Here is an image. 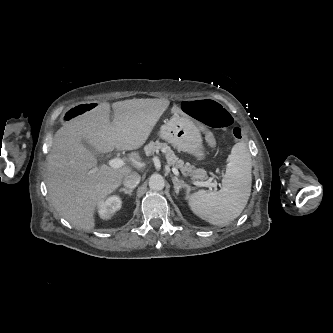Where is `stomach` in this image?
I'll return each mask as SVG.
<instances>
[{
    "instance_id": "obj_1",
    "label": "stomach",
    "mask_w": 333,
    "mask_h": 333,
    "mask_svg": "<svg viewBox=\"0 0 333 333\" xmlns=\"http://www.w3.org/2000/svg\"><path fill=\"white\" fill-rule=\"evenodd\" d=\"M159 135L179 151L189 153L198 160L206 157L200 130L187 119L174 116L161 126Z\"/></svg>"
}]
</instances>
